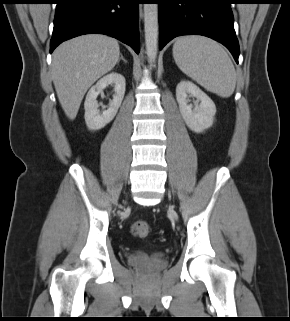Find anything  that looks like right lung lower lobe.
Returning <instances> with one entry per match:
<instances>
[{
  "instance_id": "98d812e1",
  "label": "right lung lower lobe",
  "mask_w": 290,
  "mask_h": 321,
  "mask_svg": "<svg viewBox=\"0 0 290 321\" xmlns=\"http://www.w3.org/2000/svg\"><path fill=\"white\" fill-rule=\"evenodd\" d=\"M141 0H57L50 52L73 37L100 33L139 53L138 4Z\"/></svg>"
}]
</instances>
